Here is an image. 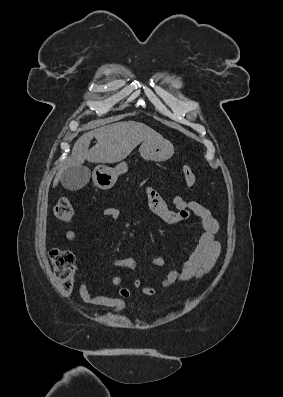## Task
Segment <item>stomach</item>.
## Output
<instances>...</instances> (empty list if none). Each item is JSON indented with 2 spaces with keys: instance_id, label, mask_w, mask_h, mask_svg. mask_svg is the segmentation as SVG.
<instances>
[{
  "instance_id": "obj_1",
  "label": "stomach",
  "mask_w": 283,
  "mask_h": 397,
  "mask_svg": "<svg viewBox=\"0 0 283 397\" xmlns=\"http://www.w3.org/2000/svg\"><path fill=\"white\" fill-rule=\"evenodd\" d=\"M140 155L148 161L162 162L168 160L174 153L173 144L167 139L146 140L139 148ZM128 166L125 162L119 163L116 167L98 165L93 171L95 185L102 189H110L119 175L126 173Z\"/></svg>"
}]
</instances>
